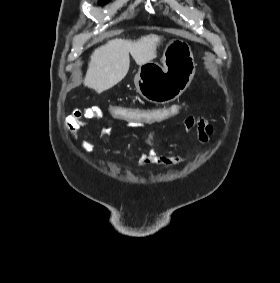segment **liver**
I'll use <instances>...</instances> for the list:
<instances>
[{"label":"liver","mask_w":280,"mask_h":283,"mask_svg":"<svg viewBox=\"0 0 280 283\" xmlns=\"http://www.w3.org/2000/svg\"><path fill=\"white\" fill-rule=\"evenodd\" d=\"M161 37L148 35L137 41L116 38L98 47L91 55L84 85L97 93L110 89L128 73L129 54L138 65L150 62L156 56Z\"/></svg>","instance_id":"6515ba94"}]
</instances>
